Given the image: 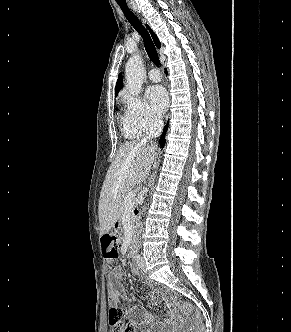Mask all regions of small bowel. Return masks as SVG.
<instances>
[{
    "instance_id": "small-bowel-1",
    "label": "small bowel",
    "mask_w": 291,
    "mask_h": 332,
    "mask_svg": "<svg viewBox=\"0 0 291 332\" xmlns=\"http://www.w3.org/2000/svg\"><path fill=\"white\" fill-rule=\"evenodd\" d=\"M121 250L124 252L126 250L125 246H123ZM131 270L136 275L140 274L138 268L136 267H132ZM123 273L124 269L122 266H115L110 273L108 297L109 300L113 303L117 302L119 299L126 298L125 290L119 287V283L121 281ZM151 298L155 302L164 301L166 306L168 307L167 303L170 297L165 296L162 290L154 289V291L151 293ZM132 313L135 324L137 325L152 324L154 329H159V330L163 328L174 327L178 325L180 322H182V317L178 314H175L171 309L169 312L170 313L169 319L164 322H158L154 315L150 314L140 306L134 307ZM131 327H132V332H144L141 330H137L134 326Z\"/></svg>"
}]
</instances>
